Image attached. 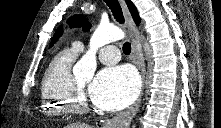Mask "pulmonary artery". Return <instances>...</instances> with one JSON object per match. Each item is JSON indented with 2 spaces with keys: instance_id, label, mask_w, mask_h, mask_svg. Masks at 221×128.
Segmentation results:
<instances>
[{
  "instance_id": "obj_1",
  "label": "pulmonary artery",
  "mask_w": 221,
  "mask_h": 128,
  "mask_svg": "<svg viewBox=\"0 0 221 128\" xmlns=\"http://www.w3.org/2000/svg\"><path fill=\"white\" fill-rule=\"evenodd\" d=\"M111 42V41H110ZM73 46L79 51H83L84 46L82 42L76 41L73 43ZM99 60L105 64L116 63L120 59L119 49L114 45H106L101 48L99 51Z\"/></svg>"
}]
</instances>
